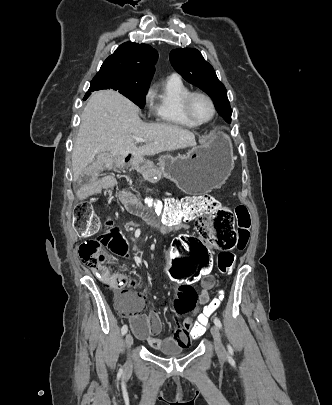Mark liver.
Wrapping results in <instances>:
<instances>
[{"mask_svg":"<svg viewBox=\"0 0 332 405\" xmlns=\"http://www.w3.org/2000/svg\"><path fill=\"white\" fill-rule=\"evenodd\" d=\"M138 107L113 90L94 92L85 106L72 152L73 179L102 154L107 167L115 157L129 152L137 156H154L164 151L195 146V135L168 123L146 124L138 116ZM143 138L145 145L136 147L134 139Z\"/></svg>","mask_w":332,"mask_h":405,"instance_id":"1","label":"liver"}]
</instances>
